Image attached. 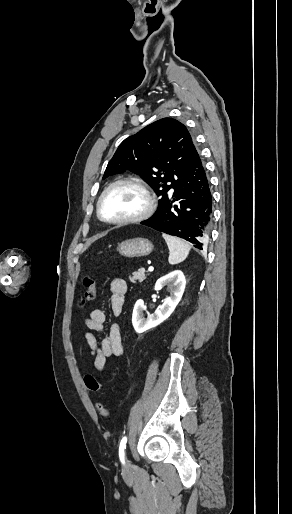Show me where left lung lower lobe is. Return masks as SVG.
<instances>
[{
	"label": "left lung lower lobe",
	"mask_w": 292,
	"mask_h": 514,
	"mask_svg": "<svg viewBox=\"0 0 292 514\" xmlns=\"http://www.w3.org/2000/svg\"><path fill=\"white\" fill-rule=\"evenodd\" d=\"M211 220L210 184L193 144L188 166L173 187V193L163 197L155 214L141 224L183 238L202 249L208 242Z\"/></svg>",
	"instance_id": "obj_1"
}]
</instances>
